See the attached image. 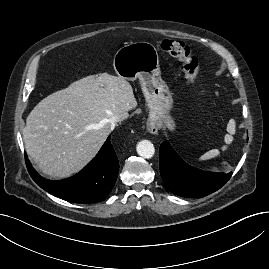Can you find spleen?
Segmentation results:
<instances>
[{
	"mask_svg": "<svg viewBox=\"0 0 269 269\" xmlns=\"http://www.w3.org/2000/svg\"><path fill=\"white\" fill-rule=\"evenodd\" d=\"M227 132L228 134L225 135L224 141L226 145L222 146V150L225 151L228 148V145L232 143L233 141V135L235 134L236 131V125H235V120L230 119L227 125ZM220 154V151L218 149H212L205 154H203L199 159L200 160H209L212 158L217 157Z\"/></svg>",
	"mask_w": 269,
	"mask_h": 269,
	"instance_id": "obj_1",
	"label": "spleen"
}]
</instances>
